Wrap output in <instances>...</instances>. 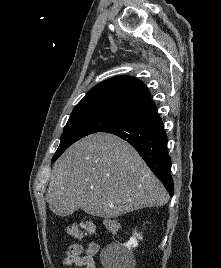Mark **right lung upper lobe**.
Returning <instances> with one entry per match:
<instances>
[{
    "label": "right lung upper lobe",
    "mask_w": 221,
    "mask_h": 268,
    "mask_svg": "<svg viewBox=\"0 0 221 268\" xmlns=\"http://www.w3.org/2000/svg\"><path fill=\"white\" fill-rule=\"evenodd\" d=\"M104 110L129 121L156 112L149 91L131 76H117L94 86L73 112Z\"/></svg>",
    "instance_id": "obj_1"
}]
</instances>
